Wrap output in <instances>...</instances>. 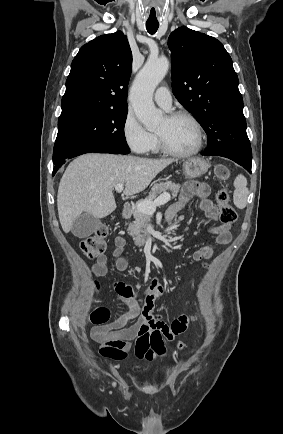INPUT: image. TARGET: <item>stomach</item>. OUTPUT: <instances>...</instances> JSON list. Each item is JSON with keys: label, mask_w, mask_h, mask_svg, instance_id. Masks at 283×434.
I'll use <instances>...</instances> for the list:
<instances>
[{"label": "stomach", "mask_w": 283, "mask_h": 434, "mask_svg": "<svg viewBox=\"0 0 283 434\" xmlns=\"http://www.w3.org/2000/svg\"><path fill=\"white\" fill-rule=\"evenodd\" d=\"M208 163L201 158H190L182 163L183 175L186 178H197L207 172Z\"/></svg>", "instance_id": "0dacf381"}]
</instances>
